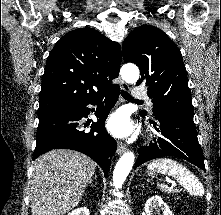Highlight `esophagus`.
Wrapping results in <instances>:
<instances>
[{
  "label": "esophagus",
  "instance_id": "esophagus-1",
  "mask_svg": "<svg viewBox=\"0 0 221 215\" xmlns=\"http://www.w3.org/2000/svg\"><path fill=\"white\" fill-rule=\"evenodd\" d=\"M120 86L125 91H127L129 89V86L124 81H122L121 79H120ZM126 150H127L126 145L124 143H122V142H119L118 146H117V154L121 155L124 152H126Z\"/></svg>",
  "mask_w": 221,
  "mask_h": 215
}]
</instances>
